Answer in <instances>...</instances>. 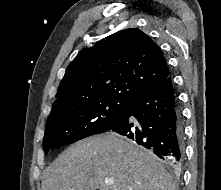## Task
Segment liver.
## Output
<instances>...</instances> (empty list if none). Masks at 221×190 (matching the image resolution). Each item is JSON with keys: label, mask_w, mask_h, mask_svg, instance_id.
Instances as JSON below:
<instances>
[{"label": "liver", "mask_w": 221, "mask_h": 190, "mask_svg": "<svg viewBox=\"0 0 221 190\" xmlns=\"http://www.w3.org/2000/svg\"><path fill=\"white\" fill-rule=\"evenodd\" d=\"M114 179L107 184L106 179ZM42 190H175L154 156L115 133L69 146L46 170Z\"/></svg>", "instance_id": "6515ba94"}]
</instances>
